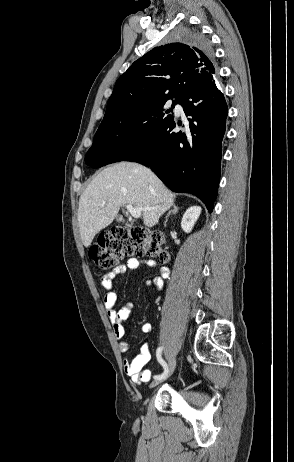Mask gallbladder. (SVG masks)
I'll return each instance as SVG.
<instances>
[{
  "label": "gallbladder",
  "instance_id": "obj_1",
  "mask_svg": "<svg viewBox=\"0 0 294 462\" xmlns=\"http://www.w3.org/2000/svg\"><path fill=\"white\" fill-rule=\"evenodd\" d=\"M117 222H119V223L124 222V219H123L121 216H119V217L117 218Z\"/></svg>",
  "mask_w": 294,
  "mask_h": 462
}]
</instances>
